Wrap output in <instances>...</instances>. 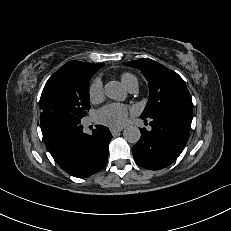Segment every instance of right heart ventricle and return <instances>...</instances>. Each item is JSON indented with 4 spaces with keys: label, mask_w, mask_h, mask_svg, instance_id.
I'll list each match as a JSON object with an SVG mask.
<instances>
[{
    "label": "right heart ventricle",
    "mask_w": 231,
    "mask_h": 231,
    "mask_svg": "<svg viewBox=\"0 0 231 231\" xmlns=\"http://www.w3.org/2000/svg\"><path fill=\"white\" fill-rule=\"evenodd\" d=\"M120 78L127 89H129L132 85L138 83L137 78L131 73H123Z\"/></svg>",
    "instance_id": "1"
}]
</instances>
